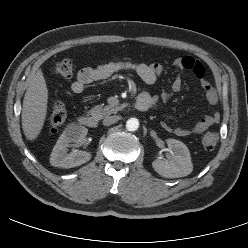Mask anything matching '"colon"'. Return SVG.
I'll list each match as a JSON object with an SVG mask.
<instances>
[{
	"mask_svg": "<svg viewBox=\"0 0 248 248\" xmlns=\"http://www.w3.org/2000/svg\"><path fill=\"white\" fill-rule=\"evenodd\" d=\"M131 61V60H122ZM54 72L61 78H69L73 75L74 64L71 59H63L55 65ZM67 118V110L64 104L56 102L53 104L50 116L49 127L52 131L59 129ZM219 135L216 131H206L201 135V144L206 150H212L216 146Z\"/></svg>",
	"mask_w": 248,
	"mask_h": 248,
	"instance_id": "obj_1",
	"label": "colon"
}]
</instances>
